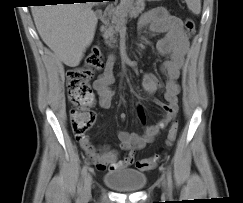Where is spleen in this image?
Segmentation results:
<instances>
[{"mask_svg":"<svg viewBox=\"0 0 243 203\" xmlns=\"http://www.w3.org/2000/svg\"><path fill=\"white\" fill-rule=\"evenodd\" d=\"M188 9L196 14L199 15L201 12V0H185Z\"/></svg>","mask_w":243,"mask_h":203,"instance_id":"spleen-1","label":"spleen"}]
</instances>
